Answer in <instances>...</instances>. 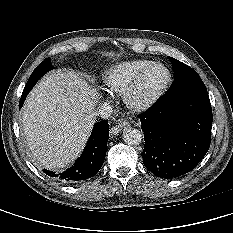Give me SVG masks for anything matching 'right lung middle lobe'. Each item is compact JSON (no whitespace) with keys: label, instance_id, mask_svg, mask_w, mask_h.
<instances>
[{"label":"right lung middle lobe","instance_id":"dd1d6c3e","mask_svg":"<svg viewBox=\"0 0 233 233\" xmlns=\"http://www.w3.org/2000/svg\"><path fill=\"white\" fill-rule=\"evenodd\" d=\"M52 69L51 59L47 58L36 67V69L31 74L26 86L33 87L36 82L47 72Z\"/></svg>","mask_w":233,"mask_h":233}]
</instances>
